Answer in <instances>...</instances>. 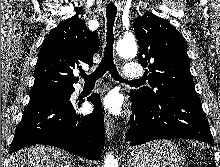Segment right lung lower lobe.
I'll return each instance as SVG.
<instances>
[{
  "mask_svg": "<svg viewBox=\"0 0 220 167\" xmlns=\"http://www.w3.org/2000/svg\"><path fill=\"white\" fill-rule=\"evenodd\" d=\"M73 91L30 98L16 128L10 153L25 146L44 144L99 160L105 141L100 97L94 94L88 99L94 104L91 114H77L76 106L69 100Z\"/></svg>",
  "mask_w": 220,
  "mask_h": 167,
  "instance_id": "right-lung-lower-lobe-1",
  "label": "right lung lower lobe"
}]
</instances>
